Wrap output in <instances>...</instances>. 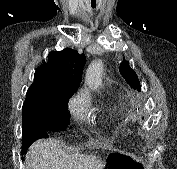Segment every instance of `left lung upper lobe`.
Masks as SVG:
<instances>
[{"instance_id": "left-lung-upper-lobe-1", "label": "left lung upper lobe", "mask_w": 177, "mask_h": 169, "mask_svg": "<svg viewBox=\"0 0 177 169\" xmlns=\"http://www.w3.org/2000/svg\"><path fill=\"white\" fill-rule=\"evenodd\" d=\"M122 75L125 77V79L128 81V83H129L131 86H133L134 88H137L136 85H134V83H132V82L126 77V75H125L124 73H122Z\"/></svg>"}]
</instances>
